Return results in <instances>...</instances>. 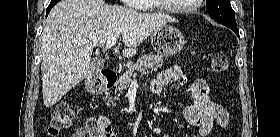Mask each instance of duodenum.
Wrapping results in <instances>:
<instances>
[{
  "label": "duodenum",
  "instance_id": "obj_1",
  "mask_svg": "<svg viewBox=\"0 0 280 137\" xmlns=\"http://www.w3.org/2000/svg\"><path fill=\"white\" fill-rule=\"evenodd\" d=\"M118 81V75L115 71H107L105 72L99 81V88L101 90H108L116 85Z\"/></svg>",
  "mask_w": 280,
  "mask_h": 137
}]
</instances>
